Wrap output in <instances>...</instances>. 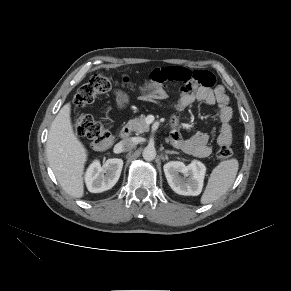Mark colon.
<instances>
[{
  "label": "colon",
  "instance_id": "colon-1",
  "mask_svg": "<svg viewBox=\"0 0 291 291\" xmlns=\"http://www.w3.org/2000/svg\"><path fill=\"white\" fill-rule=\"evenodd\" d=\"M151 74L145 78L146 82H152ZM132 81L128 77L113 78L104 74H95L90 80L81 86L74 97V128L81 137L89 139L90 147L94 150L106 149L113 140L111 132L105 129L93 116L81 112V109L91 104L97 95L108 93L115 86H130ZM233 150L228 145L220 146L217 157L221 160L230 159Z\"/></svg>",
  "mask_w": 291,
  "mask_h": 291
}]
</instances>
